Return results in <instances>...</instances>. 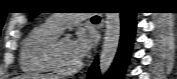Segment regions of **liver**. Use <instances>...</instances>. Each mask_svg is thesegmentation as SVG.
I'll return each mask as SVG.
<instances>
[{"mask_svg": "<svg viewBox=\"0 0 177 79\" xmlns=\"http://www.w3.org/2000/svg\"><path fill=\"white\" fill-rule=\"evenodd\" d=\"M27 79H56L54 76H32V77H26ZM16 79H20L17 77Z\"/></svg>", "mask_w": 177, "mask_h": 79, "instance_id": "6515ba94", "label": "liver"}]
</instances>
